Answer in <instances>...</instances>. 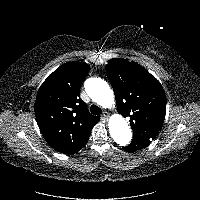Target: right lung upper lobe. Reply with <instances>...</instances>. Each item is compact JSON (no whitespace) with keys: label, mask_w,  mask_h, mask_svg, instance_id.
<instances>
[{"label":"right lung upper lobe","mask_w":200,"mask_h":200,"mask_svg":"<svg viewBox=\"0 0 200 200\" xmlns=\"http://www.w3.org/2000/svg\"><path fill=\"white\" fill-rule=\"evenodd\" d=\"M89 68L79 62L60 66L47 77L36 96L34 110L39 129L47 143L64 154H75L85 146L100 120L80 99V85Z\"/></svg>","instance_id":"cb5924a9"}]
</instances>
